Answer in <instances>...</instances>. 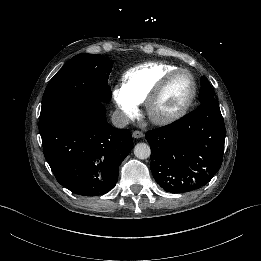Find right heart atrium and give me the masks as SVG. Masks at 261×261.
<instances>
[{"instance_id":"d8ad5b80","label":"right heart atrium","mask_w":261,"mask_h":261,"mask_svg":"<svg viewBox=\"0 0 261 261\" xmlns=\"http://www.w3.org/2000/svg\"><path fill=\"white\" fill-rule=\"evenodd\" d=\"M112 97L125 122H132L139 116L138 103L123 88H115Z\"/></svg>"}]
</instances>
